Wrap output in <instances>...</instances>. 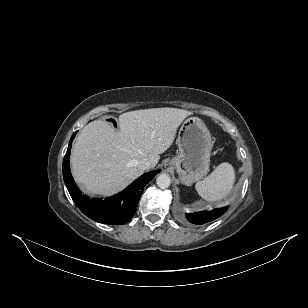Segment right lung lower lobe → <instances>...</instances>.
<instances>
[{
	"instance_id": "obj_1",
	"label": "right lung lower lobe",
	"mask_w": 308,
	"mask_h": 308,
	"mask_svg": "<svg viewBox=\"0 0 308 308\" xmlns=\"http://www.w3.org/2000/svg\"><path fill=\"white\" fill-rule=\"evenodd\" d=\"M76 132L72 135L63 161V178L67 189L79 209L92 220L104 224H124L136 212L143 188L154 178L159 170L146 173L135 180L125 190L110 198L89 199L81 195L74 184L70 172L69 156Z\"/></svg>"
}]
</instances>
